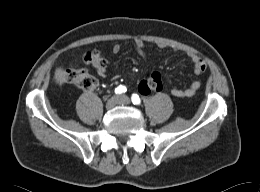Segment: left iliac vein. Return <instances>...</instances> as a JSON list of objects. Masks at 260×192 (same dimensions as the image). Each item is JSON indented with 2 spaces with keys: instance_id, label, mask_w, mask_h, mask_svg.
<instances>
[{
  "instance_id": "left-iliac-vein-1",
  "label": "left iliac vein",
  "mask_w": 260,
  "mask_h": 192,
  "mask_svg": "<svg viewBox=\"0 0 260 192\" xmlns=\"http://www.w3.org/2000/svg\"><path fill=\"white\" fill-rule=\"evenodd\" d=\"M118 98H119V101H118L119 104L128 105L130 103L129 97H127L125 95L119 96Z\"/></svg>"
}]
</instances>
